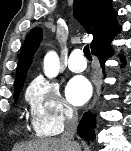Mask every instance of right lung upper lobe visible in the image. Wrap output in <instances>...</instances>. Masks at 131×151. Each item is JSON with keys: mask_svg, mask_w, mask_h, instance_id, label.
Instances as JSON below:
<instances>
[{"mask_svg": "<svg viewBox=\"0 0 131 151\" xmlns=\"http://www.w3.org/2000/svg\"><path fill=\"white\" fill-rule=\"evenodd\" d=\"M111 2L112 0H74L75 18L88 33L93 35L91 49L104 43L121 30L116 20L117 12L112 8ZM41 39L40 27L28 33L18 61L14 90L23 87L27 71Z\"/></svg>", "mask_w": 131, "mask_h": 151, "instance_id": "1", "label": "right lung upper lobe"}]
</instances>
